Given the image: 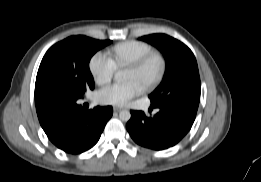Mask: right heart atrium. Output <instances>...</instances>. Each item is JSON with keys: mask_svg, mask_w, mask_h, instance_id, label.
<instances>
[{"mask_svg": "<svg viewBox=\"0 0 261 182\" xmlns=\"http://www.w3.org/2000/svg\"><path fill=\"white\" fill-rule=\"evenodd\" d=\"M89 71L95 84L104 86L112 80L116 68L105 53L97 52L89 61Z\"/></svg>", "mask_w": 261, "mask_h": 182, "instance_id": "1", "label": "right heart atrium"}]
</instances>
